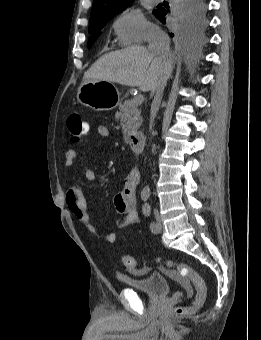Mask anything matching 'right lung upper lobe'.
Returning <instances> with one entry per match:
<instances>
[{
	"mask_svg": "<svg viewBox=\"0 0 261 340\" xmlns=\"http://www.w3.org/2000/svg\"><path fill=\"white\" fill-rule=\"evenodd\" d=\"M128 5L129 0H93L90 23L106 17H114Z\"/></svg>",
	"mask_w": 261,
	"mask_h": 340,
	"instance_id": "obj_1",
	"label": "right lung upper lobe"
}]
</instances>
